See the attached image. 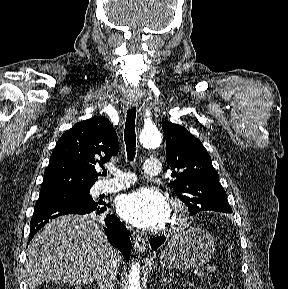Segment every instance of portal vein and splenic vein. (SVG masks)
Masks as SVG:
<instances>
[{
  "label": "portal vein and splenic vein",
  "instance_id": "portal-vein-and-splenic-vein-1",
  "mask_svg": "<svg viewBox=\"0 0 288 289\" xmlns=\"http://www.w3.org/2000/svg\"><path fill=\"white\" fill-rule=\"evenodd\" d=\"M197 275H198V276H203L204 273H203L202 271H199V272L197 273Z\"/></svg>",
  "mask_w": 288,
  "mask_h": 289
}]
</instances>
